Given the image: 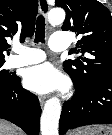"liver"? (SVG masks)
I'll return each instance as SVG.
<instances>
[{
    "label": "liver",
    "mask_w": 112,
    "mask_h": 135,
    "mask_svg": "<svg viewBox=\"0 0 112 135\" xmlns=\"http://www.w3.org/2000/svg\"><path fill=\"white\" fill-rule=\"evenodd\" d=\"M0 135H24L17 126L0 119Z\"/></svg>",
    "instance_id": "obj_1"
}]
</instances>
